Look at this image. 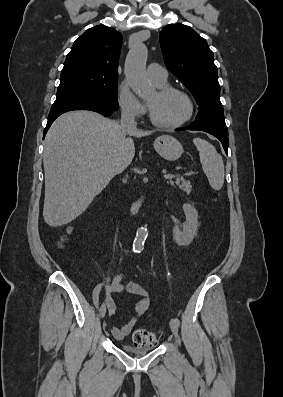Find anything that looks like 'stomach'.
<instances>
[{
    "label": "stomach",
    "instance_id": "1",
    "mask_svg": "<svg viewBox=\"0 0 283 397\" xmlns=\"http://www.w3.org/2000/svg\"><path fill=\"white\" fill-rule=\"evenodd\" d=\"M156 152L168 161H175L183 154L182 144L173 136L161 135L154 141Z\"/></svg>",
    "mask_w": 283,
    "mask_h": 397
}]
</instances>
